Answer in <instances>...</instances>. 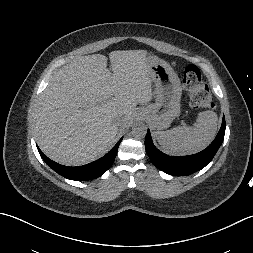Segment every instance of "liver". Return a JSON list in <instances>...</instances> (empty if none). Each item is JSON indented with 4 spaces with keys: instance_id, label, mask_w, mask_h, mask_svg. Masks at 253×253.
<instances>
[{
    "instance_id": "6515ba94",
    "label": "liver",
    "mask_w": 253,
    "mask_h": 253,
    "mask_svg": "<svg viewBox=\"0 0 253 253\" xmlns=\"http://www.w3.org/2000/svg\"><path fill=\"white\" fill-rule=\"evenodd\" d=\"M109 58L113 73L104 55L73 60L53 72L38 97L33 130L40 149L55 162L80 166L98 159L137 104L152 100L146 51H113Z\"/></svg>"
}]
</instances>
